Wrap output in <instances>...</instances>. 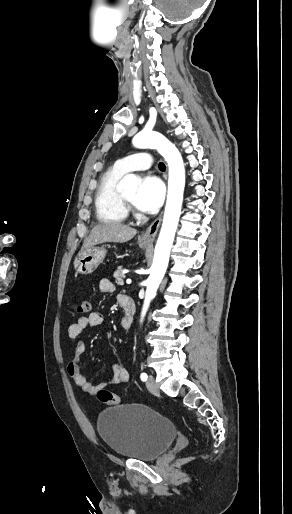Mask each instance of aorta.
<instances>
[{
  "label": "aorta",
  "mask_w": 292,
  "mask_h": 514,
  "mask_svg": "<svg viewBox=\"0 0 292 514\" xmlns=\"http://www.w3.org/2000/svg\"><path fill=\"white\" fill-rule=\"evenodd\" d=\"M135 148H151L158 150L159 154L166 160L169 168L167 202L165 206L162 228L157 240L154 260L151 266V274L147 280V290L145 294L142 316H144L148 306L155 298L156 292L161 284L167 270L175 232L177 230L185 188V168L182 156L174 144L158 132H139L133 138ZM124 188H136L139 184L138 178L129 174L121 180Z\"/></svg>",
  "instance_id": "1"
}]
</instances>
